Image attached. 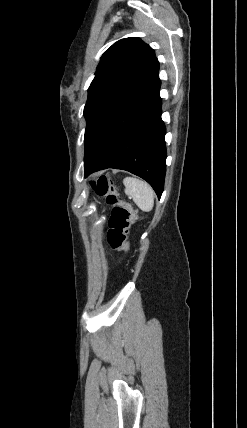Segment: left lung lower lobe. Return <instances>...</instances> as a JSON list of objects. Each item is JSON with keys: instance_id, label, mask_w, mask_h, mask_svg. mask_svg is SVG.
<instances>
[{"instance_id": "0a47b994", "label": "left lung lower lobe", "mask_w": 247, "mask_h": 428, "mask_svg": "<svg viewBox=\"0 0 247 428\" xmlns=\"http://www.w3.org/2000/svg\"><path fill=\"white\" fill-rule=\"evenodd\" d=\"M157 79L123 104L98 133L84 159V176L106 168L146 180L161 197L166 172L165 126Z\"/></svg>"}]
</instances>
